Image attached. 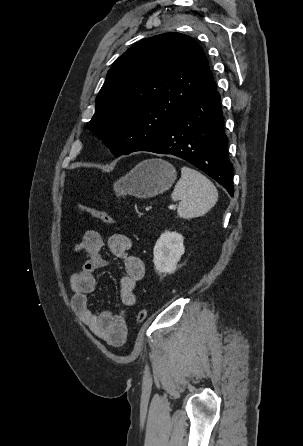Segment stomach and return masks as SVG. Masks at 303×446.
I'll list each match as a JSON object with an SVG mask.
<instances>
[{"mask_svg": "<svg viewBox=\"0 0 303 446\" xmlns=\"http://www.w3.org/2000/svg\"><path fill=\"white\" fill-rule=\"evenodd\" d=\"M176 179L175 167L162 159L140 162L113 187L117 196L150 198L168 190Z\"/></svg>", "mask_w": 303, "mask_h": 446, "instance_id": "0dacf381", "label": "stomach"}]
</instances>
